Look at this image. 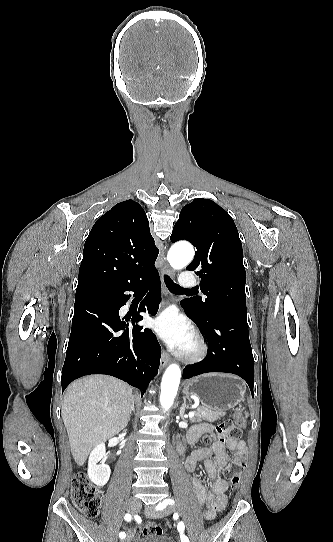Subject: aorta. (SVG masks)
<instances>
[{
	"label": "aorta",
	"mask_w": 333,
	"mask_h": 542,
	"mask_svg": "<svg viewBox=\"0 0 333 542\" xmlns=\"http://www.w3.org/2000/svg\"><path fill=\"white\" fill-rule=\"evenodd\" d=\"M194 256L193 246L187 242H178L171 246L167 260L174 270H182ZM181 380V370L178 364H170L163 374L161 382L160 404L168 412L174 404L175 396Z\"/></svg>",
	"instance_id": "obj_1"
}]
</instances>
